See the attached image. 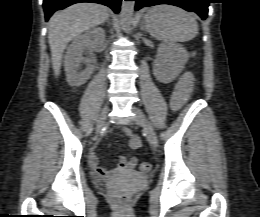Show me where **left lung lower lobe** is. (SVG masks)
<instances>
[{
    "label": "left lung lower lobe",
    "instance_id": "1",
    "mask_svg": "<svg viewBox=\"0 0 260 217\" xmlns=\"http://www.w3.org/2000/svg\"><path fill=\"white\" fill-rule=\"evenodd\" d=\"M136 1L135 10L158 4H170L179 6L187 11L196 12L203 20L208 15L210 0H133Z\"/></svg>",
    "mask_w": 260,
    "mask_h": 217
}]
</instances>
